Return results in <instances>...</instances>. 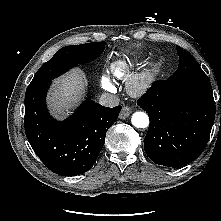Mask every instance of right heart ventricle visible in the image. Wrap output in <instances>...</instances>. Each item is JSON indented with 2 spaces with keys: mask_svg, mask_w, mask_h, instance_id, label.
<instances>
[{
  "mask_svg": "<svg viewBox=\"0 0 221 221\" xmlns=\"http://www.w3.org/2000/svg\"><path fill=\"white\" fill-rule=\"evenodd\" d=\"M111 72L116 78H124L129 72V67L122 61L114 62L111 65Z\"/></svg>",
  "mask_w": 221,
  "mask_h": 221,
  "instance_id": "e07e8e85",
  "label": "right heart ventricle"
}]
</instances>
